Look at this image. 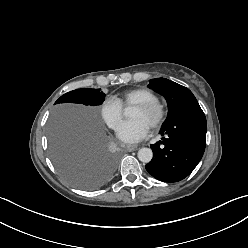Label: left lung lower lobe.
<instances>
[{"instance_id":"0a47b994","label":"left lung lower lobe","mask_w":248,"mask_h":248,"mask_svg":"<svg viewBox=\"0 0 248 248\" xmlns=\"http://www.w3.org/2000/svg\"><path fill=\"white\" fill-rule=\"evenodd\" d=\"M206 131V117L198 102L188 103L162 126L160 134L163 138L150 146L153 158L145 166L146 170L163 182L184 179L203 156Z\"/></svg>"}]
</instances>
